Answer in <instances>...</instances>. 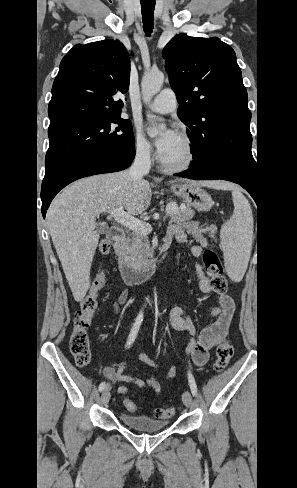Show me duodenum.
<instances>
[{"label": "duodenum", "instance_id": "410a0bca", "mask_svg": "<svg viewBox=\"0 0 297 488\" xmlns=\"http://www.w3.org/2000/svg\"><path fill=\"white\" fill-rule=\"evenodd\" d=\"M108 237L114 245L115 256L118 260V268L123 280L130 285L145 281L155 271L159 261V255L151 258L142 265H134L124 253L125 233L123 229L114 226L109 230ZM168 246L163 245L160 254L167 251Z\"/></svg>", "mask_w": 297, "mask_h": 488}]
</instances>
